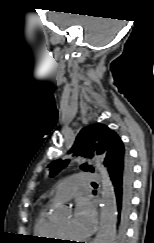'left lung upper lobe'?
Wrapping results in <instances>:
<instances>
[{
  "mask_svg": "<svg viewBox=\"0 0 154 243\" xmlns=\"http://www.w3.org/2000/svg\"><path fill=\"white\" fill-rule=\"evenodd\" d=\"M76 156L93 157L102 155L104 161L106 158L121 155L124 157L126 151L120 137L116 132L109 129L104 124H92L83 128L78 134L76 141L69 151ZM69 160H56L48 165L50 176L56 175L63 169ZM81 169L84 171H93L88 164H83Z\"/></svg>",
  "mask_w": 154,
  "mask_h": 243,
  "instance_id": "1",
  "label": "left lung upper lobe"
}]
</instances>
